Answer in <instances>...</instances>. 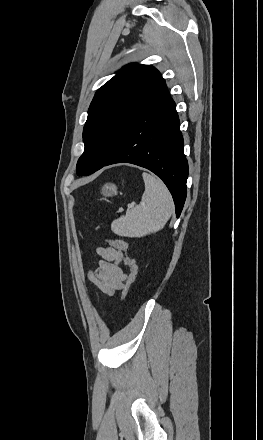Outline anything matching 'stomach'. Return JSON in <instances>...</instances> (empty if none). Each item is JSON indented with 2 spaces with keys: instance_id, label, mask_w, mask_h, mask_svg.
I'll return each instance as SVG.
<instances>
[{
  "instance_id": "stomach-1",
  "label": "stomach",
  "mask_w": 263,
  "mask_h": 440,
  "mask_svg": "<svg viewBox=\"0 0 263 440\" xmlns=\"http://www.w3.org/2000/svg\"><path fill=\"white\" fill-rule=\"evenodd\" d=\"M117 187L113 183L105 184L101 189V194L105 197L116 195Z\"/></svg>"
}]
</instances>
